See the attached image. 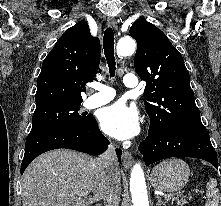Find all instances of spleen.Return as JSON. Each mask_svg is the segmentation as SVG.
I'll list each match as a JSON object with an SVG mask.
<instances>
[{
  "label": "spleen",
  "instance_id": "obj_1",
  "mask_svg": "<svg viewBox=\"0 0 221 206\" xmlns=\"http://www.w3.org/2000/svg\"><path fill=\"white\" fill-rule=\"evenodd\" d=\"M205 206H219V191L215 179H211L207 183V201Z\"/></svg>",
  "mask_w": 221,
  "mask_h": 206
}]
</instances>
